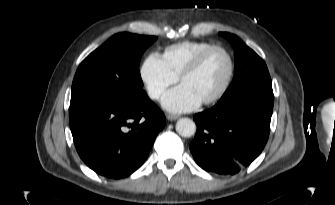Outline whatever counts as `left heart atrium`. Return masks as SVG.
<instances>
[{
	"label": "left heart atrium",
	"mask_w": 335,
	"mask_h": 205,
	"mask_svg": "<svg viewBox=\"0 0 335 205\" xmlns=\"http://www.w3.org/2000/svg\"><path fill=\"white\" fill-rule=\"evenodd\" d=\"M201 100L184 84L170 90L162 99V105L171 112H186L198 107Z\"/></svg>",
	"instance_id": "39dd6f15"
}]
</instances>
